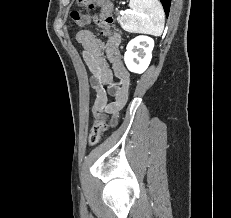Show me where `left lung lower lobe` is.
I'll list each match as a JSON object with an SVG mask.
<instances>
[{"mask_svg": "<svg viewBox=\"0 0 231 218\" xmlns=\"http://www.w3.org/2000/svg\"><path fill=\"white\" fill-rule=\"evenodd\" d=\"M160 2L162 3V5L164 7V11H165L166 15L168 16L169 10H170L171 0H160Z\"/></svg>", "mask_w": 231, "mask_h": 218, "instance_id": "1", "label": "left lung lower lobe"}]
</instances>
